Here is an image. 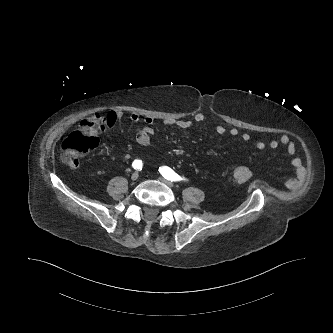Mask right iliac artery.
<instances>
[{
  "mask_svg": "<svg viewBox=\"0 0 333 333\" xmlns=\"http://www.w3.org/2000/svg\"><path fill=\"white\" fill-rule=\"evenodd\" d=\"M132 167L136 170H142V167H143V163L141 160H134L133 163H132Z\"/></svg>",
  "mask_w": 333,
  "mask_h": 333,
  "instance_id": "82829eb1",
  "label": "right iliac artery"
}]
</instances>
